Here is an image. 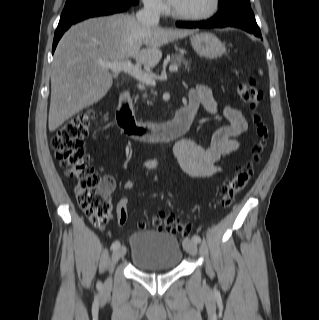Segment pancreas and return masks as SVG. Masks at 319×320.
Segmentation results:
<instances>
[{"instance_id": "1", "label": "pancreas", "mask_w": 319, "mask_h": 320, "mask_svg": "<svg viewBox=\"0 0 319 320\" xmlns=\"http://www.w3.org/2000/svg\"><path fill=\"white\" fill-rule=\"evenodd\" d=\"M171 65L172 66H181L183 65L185 68H189L191 64V60L185 59L183 54H173L171 56ZM152 94H155V92L152 91ZM146 97V95H144ZM148 104H152L151 102H148Z\"/></svg>"}]
</instances>
